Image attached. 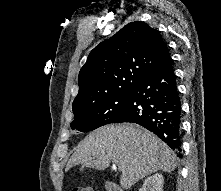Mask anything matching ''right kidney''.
I'll return each instance as SVG.
<instances>
[{
    "label": "right kidney",
    "mask_w": 221,
    "mask_h": 191,
    "mask_svg": "<svg viewBox=\"0 0 221 191\" xmlns=\"http://www.w3.org/2000/svg\"><path fill=\"white\" fill-rule=\"evenodd\" d=\"M164 177L156 173L145 179L141 191H163Z\"/></svg>",
    "instance_id": "obj_1"
}]
</instances>
